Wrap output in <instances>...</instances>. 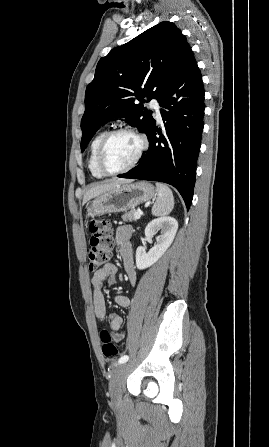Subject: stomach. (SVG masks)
Returning a JSON list of instances; mask_svg holds the SVG:
<instances>
[{"instance_id":"1","label":"stomach","mask_w":269,"mask_h":447,"mask_svg":"<svg viewBox=\"0 0 269 447\" xmlns=\"http://www.w3.org/2000/svg\"><path fill=\"white\" fill-rule=\"evenodd\" d=\"M155 188L149 182L118 184L116 188L97 196L87 208L88 216H103L113 212H126L134 206L152 200Z\"/></svg>"}]
</instances>
